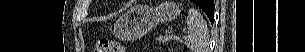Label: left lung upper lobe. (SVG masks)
<instances>
[{
    "label": "left lung upper lobe",
    "instance_id": "left-lung-upper-lobe-1",
    "mask_svg": "<svg viewBox=\"0 0 305 52\" xmlns=\"http://www.w3.org/2000/svg\"><path fill=\"white\" fill-rule=\"evenodd\" d=\"M193 1L196 5H198L200 8H202V7H204L206 0H193Z\"/></svg>",
    "mask_w": 305,
    "mask_h": 52
}]
</instances>
